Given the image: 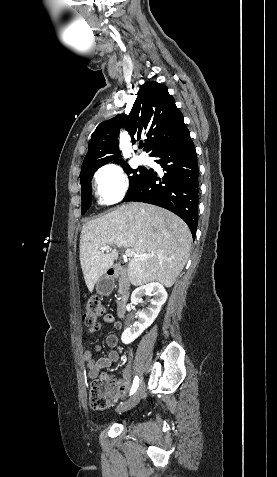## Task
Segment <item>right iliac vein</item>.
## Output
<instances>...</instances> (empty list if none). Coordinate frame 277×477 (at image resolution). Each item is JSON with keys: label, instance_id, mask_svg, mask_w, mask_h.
<instances>
[{"label": "right iliac vein", "instance_id": "1", "mask_svg": "<svg viewBox=\"0 0 277 477\" xmlns=\"http://www.w3.org/2000/svg\"><path fill=\"white\" fill-rule=\"evenodd\" d=\"M144 392H145V385H144L143 382H141L138 389L134 393V395L130 399L125 401L124 403H121L117 407V411L118 412H124V411H127V410L135 407L139 403V401L142 398Z\"/></svg>", "mask_w": 277, "mask_h": 477}]
</instances>
